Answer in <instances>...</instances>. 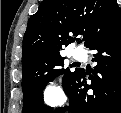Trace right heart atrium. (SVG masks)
Returning <instances> with one entry per match:
<instances>
[{"label":"right heart atrium","instance_id":"d8ad5b80","mask_svg":"<svg viewBox=\"0 0 121 113\" xmlns=\"http://www.w3.org/2000/svg\"><path fill=\"white\" fill-rule=\"evenodd\" d=\"M44 96L46 101L51 104H59L64 101V94L61 88L55 84H49L45 88Z\"/></svg>","mask_w":121,"mask_h":113}]
</instances>
